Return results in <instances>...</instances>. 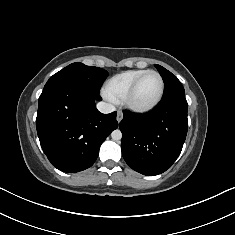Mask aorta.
Instances as JSON below:
<instances>
[{
    "mask_svg": "<svg viewBox=\"0 0 235 235\" xmlns=\"http://www.w3.org/2000/svg\"><path fill=\"white\" fill-rule=\"evenodd\" d=\"M111 137L115 141L120 140L122 138V133L120 130L116 129L111 133Z\"/></svg>",
    "mask_w": 235,
    "mask_h": 235,
    "instance_id": "aorta-1",
    "label": "aorta"
}]
</instances>
